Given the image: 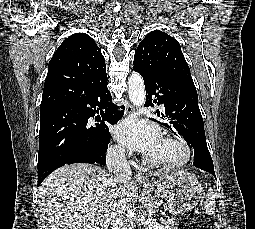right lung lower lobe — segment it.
Listing matches in <instances>:
<instances>
[{"mask_svg":"<svg viewBox=\"0 0 255 229\" xmlns=\"http://www.w3.org/2000/svg\"><path fill=\"white\" fill-rule=\"evenodd\" d=\"M111 100L112 97L107 89V74L105 71L93 81L87 92L78 100L40 111V122L48 118L74 113L82 117L88 123V118L94 117L96 112H100L102 120H99V123L94 125H89L87 139L82 140L81 143L76 145L72 153L63 163L51 168H44L38 164V186L50 173L65 164H106L105 153L108 143L110 142V133L107 124H115L121 117L118 115V112H116L117 107ZM96 107L98 108L96 109ZM89 138H94L98 142L97 155H93L89 150Z\"/></svg>","mask_w":255,"mask_h":229,"instance_id":"obj_1","label":"right lung lower lobe"}]
</instances>
